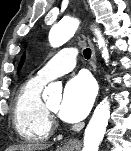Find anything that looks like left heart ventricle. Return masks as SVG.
Instances as JSON below:
<instances>
[{"label": "left heart ventricle", "mask_w": 131, "mask_h": 151, "mask_svg": "<svg viewBox=\"0 0 131 151\" xmlns=\"http://www.w3.org/2000/svg\"><path fill=\"white\" fill-rule=\"evenodd\" d=\"M60 103H61V97H56L50 100L47 104L51 109L57 112L59 110Z\"/></svg>", "instance_id": "left-heart-ventricle-1"}]
</instances>
